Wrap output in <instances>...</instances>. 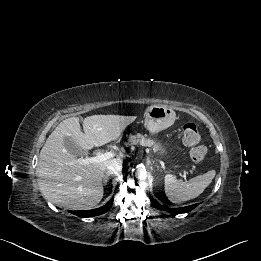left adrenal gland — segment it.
<instances>
[{
	"label": "left adrenal gland",
	"instance_id": "left-adrenal-gland-1",
	"mask_svg": "<svg viewBox=\"0 0 261 261\" xmlns=\"http://www.w3.org/2000/svg\"><path fill=\"white\" fill-rule=\"evenodd\" d=\"M153 163H154V162H153ZM155 166L157 167L158 170L162 171L161 169H159L160 167H159L157 164H155Z\"/></svg>",
	"mask_w": 261,
	"mask_h": 261
}]
</instances>
